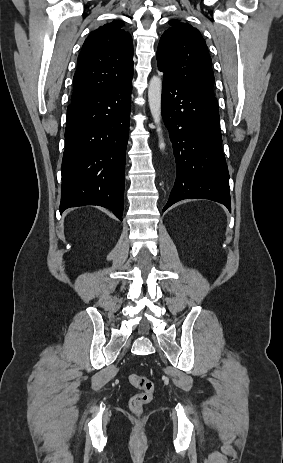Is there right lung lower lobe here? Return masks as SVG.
<instances>
[{"label": "right lung lower lobe", "mask_w": 283, "mask_h": 463, "mask_svg": "<svg viewBox=\"0 0 283 463\" xmlns=\"http://www.w3.org/2000/svg\"><path fill=\"white\" fill-rule=\"evenodd\" d=\"M131 82L71 101L68 106L61 213L70 207L99 205L122 220Z\"/></svg>", "instance_id": "98d812e1"}]
</instances>
